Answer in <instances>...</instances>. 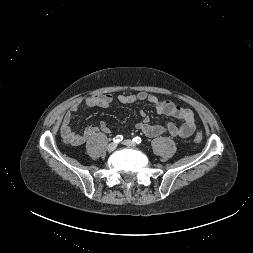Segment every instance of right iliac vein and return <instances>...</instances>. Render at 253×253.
<instances>
[{
	"mask_svg": "<svg viewBox=\"0 0 253 253\" xmlns=\"http://www.w3.org/2000/svg\"><path fill=\"white\" fill-rule=\"evenodd\" d=\"M117 148V144L116 143H110L107 147V150L112 152Z\"/></svg>",
	"mask_w": 253,
	"mask_h": 253,
	"instance_id": "63e3f726",
	"label": "right iliac vein"
}]
</instances>
